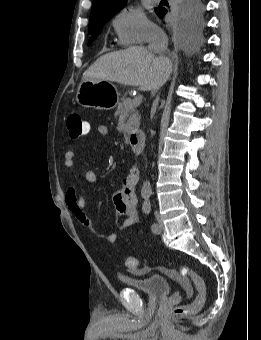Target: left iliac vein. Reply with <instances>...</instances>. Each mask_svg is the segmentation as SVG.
Masks as SVG:
<instances>
[{
	"label": "left iliac vein",
	"mask_w": 261,
	"mask_h": 340,
	"mask_svg": "<svg viewBox=\"0 0 261 340\" xmlns=\"http://www.w3.org/2000/svg\"><path fill=\"white\" fill-rule=\"evenodd\" d=\"M156 219H157L158 229L155 231V233H161L164 229V226L162 224L160 215L157 212H156Z\"/></svg>",
	"instance_id": "1"
}]
</instances>
